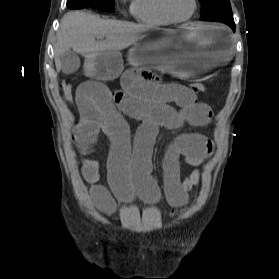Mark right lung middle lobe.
<instances>
[{
	"label": "right lung middle lobe",
	"instance_id": "right-lung-middle-lobe-1",
	"mask_svg": "<svg viewBox=\"0 0 279 279\" xmlns=\"http://www.w3.org/2000/svg\"><path fill=\"white\" fill-rule=\"evenodd\" d=\"M75 5H84L91 8L114 11V0H67V7L71 8Z\"/></svg>",
	"mask_w": 279,
	"mask_h": 279
}]
</instances>
